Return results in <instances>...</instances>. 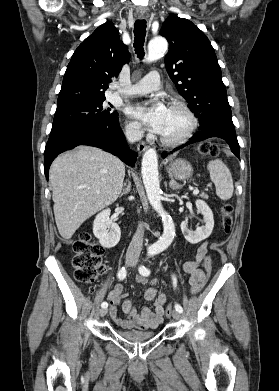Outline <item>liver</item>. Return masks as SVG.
I'll use <instances>...</instances> for the list:
<instances>
[{
  "label": "liver",
  "mask_w": 279,
  "mask_h": 391,
  "mask_svg": "<svg viewBox=\"0 0 279 391\" xmlns=\"http://www.w3.org/2000/svg\"><path fill=\"white\" fill-rule=\"evenodd\" d=\"M124 177V163L96 147L79 146L58 156L49 180L60 235L70 239L84 221L114 203Z\"/></svg>",
  "instance_id": "6515ba94"
}]
</instances>
